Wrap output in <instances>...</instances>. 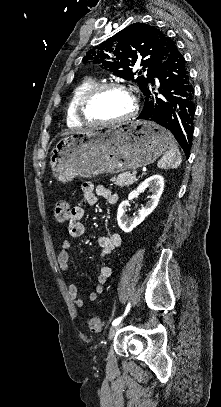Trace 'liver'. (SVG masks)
Instances as JSON below:
<instances>
[{
    "label": "liver",
    "mask_w": 221,
    "mask_h": 407,
    "mask_svg": "<svg viewBox=\"0 0 221 407\" xmlns=\"http://www.w3.org/2000/svg\"><path fill=\"white\" fill-rule=\"evenodd\" d=\"M74 131H67V132H65V133H63L62 135H67V134H70V133H73Z\"/></svg>",
    "instance_id": "obj_1"
}]
</instances>
